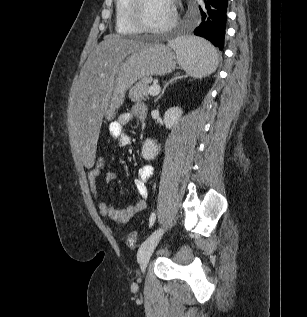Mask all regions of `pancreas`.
<instances>
[{"instance_id":"pancreas-1","label":"pancreas","mask_w":307,"mask_h":317,"mask_svg":"<svg viewBox=\"0 0 307 317\" xmlns=\"http://www.w3.org/2000/svg\"><path fill=\"white\" fill-rule=\"evenodd\" d=\"M152 83V79L149 77L143 78L138 81L134 86L129 90V98L131 101L139 102L148 98V89L150 84Z\"/></svg>"}]
</instances>
